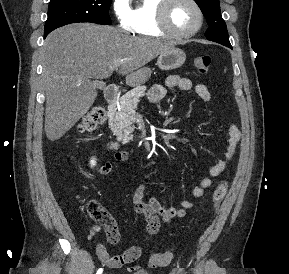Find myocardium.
Returning <instances> with one entry per match:
<instances>
[{
	"instance_id": "f54148a6",
	"label": "myocardium",
	"mask_w": 289,
	"mask_h": 274,
	"mask_svg": "<svg viewBox=\"0 0 289 274\" xmlns=\"http://www.w3.org/2000/svg\"><path fill=\"white\" fill-rule=\"evenodd\" d=\"M175 1L176 0H161V3L157 10V23H158L159 28L167 35L171 37H175V38H189V37L194 36L201 30L203 23H204V13H203L201 6L196 0H188V2L192 4V6L195 8L197 12L198 23L196 27H194L193 29L182 32V31L175 30L171 26L170 21H169L170 9Z\"/></svg>"
}]
</instances>
